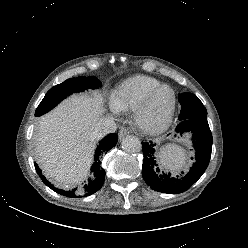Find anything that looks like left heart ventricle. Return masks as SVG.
Returning a JSON list of instances; mask_svg holds the SVG:
<instances>
[{
  "instance_id": "1",
  "label": "left heart ventricle",
  "mask_w": 248,
  "mask_h": 248,
  "mask_svg": "<svg viewBox=\"0 0 248 248\" xmlns=\"http://www.w3.org/2000/svg\"><path fill=\"white\" fill-rule=\"evenodd\" d=\"M171 93L165 89L160 91L152 100L151 104L143 115V120L149 124H156L161 122L170 107Z\"/></svg>"
}]
</instances>
